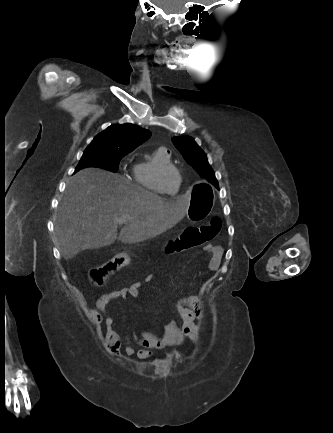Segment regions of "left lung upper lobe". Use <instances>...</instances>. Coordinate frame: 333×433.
Segmentation results:
<instances>
[{"label":"left lung upper lobe","instance_id":"obj_1","mask_svg":"<svg viewBox=\"0 0 333 433\" xmlns=\"http://www.w3.org/2000/svg\"><path fill=\"white\" fill-rule=\"evenodd\" d=\"M176 148L183 155L184 159L210 183L217 186L215 174L211 169L206 154L191 137H174L172 139Z\"/></svg>","mask_w":333,"mask_h":433}]
</instances>
